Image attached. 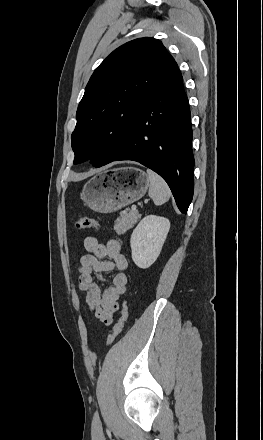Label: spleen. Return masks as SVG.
Segmentation results:
<instances>
[{
  "label": "spleen",
  "mask_w": 263,
  "mask_h": 440,
  "mask_svg": "<svg viewBox=\"0 0 263 440\" xmlns=\"http://www.w3.org/2000/svg\"><path fill=\"white\" fill-rule=\"evenodd\" d=\"M147 175L150 181L149 196L155 205H162L167 202L171 196V191L164 179L154 171L147 169Z\"/></svg>",
  "instance_id": "obj_1"
}]
</instances>
